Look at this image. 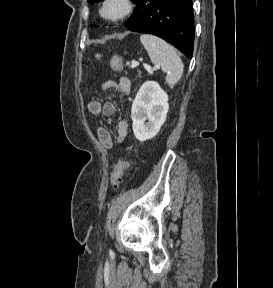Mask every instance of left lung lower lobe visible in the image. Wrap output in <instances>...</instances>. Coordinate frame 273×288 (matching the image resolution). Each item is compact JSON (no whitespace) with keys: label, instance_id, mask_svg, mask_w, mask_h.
Instances as JSON below:
<instances>
[{"label":"left lung lower lobe","instance_id":"obj_1","mask_svg":"<svg viewBox=\"0 0 273 288\" xmlns=\"http://www.w3.org/2000/svg\"><path fill=\"white\" fill-rule=\"evenodd\" d=\"M132 16L125 26L163 38L192 58L194 17L192 0H136Z\"/></svg>","mask_w":273,"mask_h":288}]
</instances>
